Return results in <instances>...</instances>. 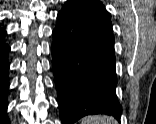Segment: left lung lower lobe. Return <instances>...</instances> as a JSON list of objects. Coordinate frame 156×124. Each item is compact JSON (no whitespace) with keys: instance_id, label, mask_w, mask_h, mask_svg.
Listing matches in <instances>:
<instances>
[{"instance_id":"left-lung-lower-lobe-1","label":"left lung lower lobe","mask_w":156,"mask_h":124,"mask_svg":"<svg viewBox=\"0 0 156 124\" xmlns=\"http://www.w3.org/2000/svg\"><path fill=\"white\" fill-rule=\"evenodd\" d=\"M51 53L62 124L91 114L120 122L110 18L83 0H67L57 15Z\"/></svg>"}]
</instances>
